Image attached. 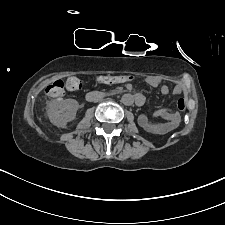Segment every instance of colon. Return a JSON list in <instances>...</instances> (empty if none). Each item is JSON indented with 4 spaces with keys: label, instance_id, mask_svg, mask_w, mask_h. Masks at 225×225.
<instances>
[{
    "label": "colon",
    "instance_id": "colon-1",
    "mask_svg": "<svg viewBox=\"0 0 225 225\" xmlns=\"http://www.w3.org/2000/svg\"><path fill=\"white\" fill-rule=\"evenodd\" d=\"M132 76L127 75H102L98 76L96 81L101 84H115L123 83L132 80ZM81 81L76 77H70L64 83L62 80H57L46 88V94L51 97H58L63 94L64 89L73 92L81 88ZM186 108V101L184 98H180L177 101V109L179 111H184Z\"/></svg>",
    "mask_w": 225,
    "mask_h": 225
}]
</instances>
